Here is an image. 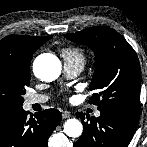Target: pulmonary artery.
Returning a JSON list of instances; mask_svg holds the SVG:
<instances>
[{"mask_svg":"<svg viewBox=\"0 0 147 147\" xmlns=\"http://www.w3.org/2000/svg\"><path fill=\"white\" fill-rule=\"evenodd\" d=\"M83 64L79 62H65L64 64V72L68 78L76 77L82 70ZM48 100L46 95L42 94H33L26 99V106L29 108L34 104H42ZM100 111L95 112V117L100 116Z\"/></svg>","mask_w":147,"mask_h":147,"instance_id":"obj_1","label":"pulmonary artery"}]
</instances>
